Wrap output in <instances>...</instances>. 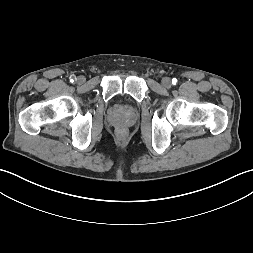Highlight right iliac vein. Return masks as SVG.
I'll list each match as a JSON object with an SVG mask.
<instances>
[{
  "instance_id": "63e3f726",
  "label": "right iliac vein",
  "mask_w": 253,
  "mask_h": 253,
  "mask_svg": "<svg viewBox=\"0 0 253 253\" xmlns=\"http://www.w3.org/2000/svg\"><path fill=\"white\" fill-rule=\"evenodd\" d=\"M85 80H86V78H85L84 76H78V77L76 78V82H77L78 84H83V83L85 82Z\"/></svg>"
}]
</instances>
